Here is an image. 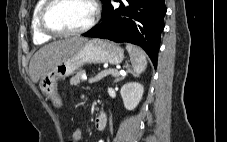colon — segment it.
<instances>
[{
	"label": "colon",
	"mask_w": 227,
	"mask_h": 142,
	"mask_svg": "<svg viewBox=\"0 0 227 142\" xmlns=\"http://www.w3.org/2000/svg\"><path fill=\"white\" fill-rule=\"evenodd\" d=\"M82 137H83V131L79 126H77L73 129L70 135L69 142H81Z\"/></svg>",
	"instance_id": "obj_1"
}]
</instances>
